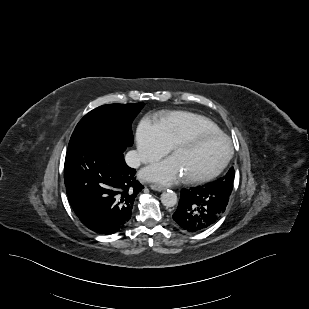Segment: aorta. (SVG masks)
I'll list each match as a JSON object with an SVG mask.
<instances>
[{
  "mask_svg": "<svg viewBox=\"0 0 309 309\" xmlns=\"http://www.w3.org/2000/svg\"><path fill=\"white\" fill-rule=\"evenodd\" d=\"M161 202L165 207H173L177 203V195L172 190H167L161 195Z\"/></svg>",
  "mask_w": 309,
  "mask_h": 309,
  "instance_id": "762f6f07",
  "label": "aorta"
}]
</instances>
